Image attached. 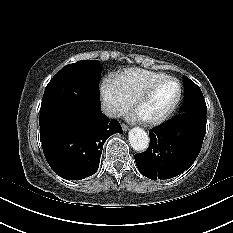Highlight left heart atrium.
<instances>
[{
    "instance_id": "39dd6f15",
    "label": "left heart atrium",
    "mask_w": 233,
    "mask_h": 233,
    "mask_svg": "<svg viewBox=\"0 0 233 233\" xmlns=\"http://www.w3.org/2000/svg\"><path fill=\"white\" fill-rule=\"evenodd\" d=\"M134 119H141V117H140L138 114H136V115L134 116Z\"/></svg>"
}]
</instances>
